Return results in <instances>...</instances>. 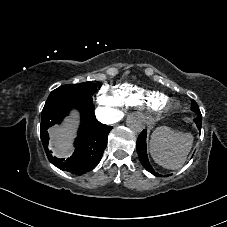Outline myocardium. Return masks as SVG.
Here are the masks:
<instances>
[{
    "label": "myocardium",
    "mask_w": 227,
    "mask_h": 227,
    "mask_svg": "<svg viewBox=\"0 0 227 227\" xmlns=\"http://www.w3.org/2000/svg\"><path fill=\"white\" fill-rule=\"evenodd\" d=\"M175 106H176V104L173 101L166 99L161 103L159 110L168 112V111L172 110L173 108H175Z\"/></svg>",
    "instance_id": "myocardium-1"
}]
</instances>
